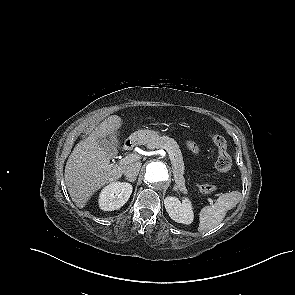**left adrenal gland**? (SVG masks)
<instances>
[{
    "mask_svg": "<svg viewBox=\"0 0 295 295\" xmlns=\"http://www.w3.org/2000/svg\"><path fill=\"white\" fill-rule=\"evenodd\" d=\"M173 190H174V191H178V188H177L176 185L173 187Z\"/></svg>",
    "mask_w": 295,
    "mask_h": 295,
    "instance_id": "a2214340",
    "label": "left adrenal gland"
}]
</instances>
